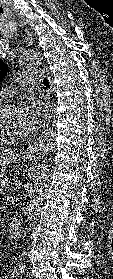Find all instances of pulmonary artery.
I'll return each mask as SVG.
<instances>
[{"mask_svg":"<svg viewBox=\"0 0 113 279\" xmlns=\"http://www.w3.org/2000/svg\"><path fill=\"white\" fill-rule=\"evenodd\" d=\"M37 78H38V75H32L29 73H22L17 76V79L23 80L22 87H24V88L30 87L32 81ZM15 92H16V87L7 86L4 89H2L1 94L5 95V96H10Z\"/></svg>","mask_w":113,"mask_h":279,"instance_id":"pulmonary-artery-1","label":"pulmonary artery"}]
</instances>
